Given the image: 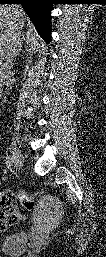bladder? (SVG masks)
Segmentation results:
<instances>
[{
	"instance_id": "bladder-1",
	"label": "bladder",
	"mask_w": 106,
	"mask_h": 257,
	"mask_svg": "<svg viewBox=\"0 0 106 257\" xmlns=\"http://www.w3.org/2000/svg\"><path fill=\"white\" fill-rule=\"evenodd\" d=\"M28 244V235L25 232L10 234L2 239L1 251L5 255L15 256L22 254Z\"/></svg>"
}]
</instances>
